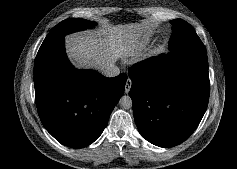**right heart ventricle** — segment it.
<instances>
[{
	"mask_svg": "<svg viewBox=\"0 0 237 169\" xmlns=\"http://www.w3.org/2000/svg\"><path fill=\"white\" fill-rule=\"evenodd\" d=\"M146 44H147L146 41L137 42V43L129 46L126 49V52L130 57H135L145 48Z\"/></svg>",
	"mask_w": 237,
	"mask_h": 169,
	"instance_id": "right-heart-ventricle-1",
	"label": "right heart ventricle"
}]
</instances>
